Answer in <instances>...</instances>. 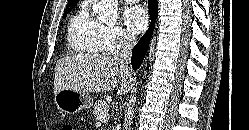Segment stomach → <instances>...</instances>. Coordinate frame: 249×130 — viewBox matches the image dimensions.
I'll return each instance as SVG.
<instances>
[{
	"label": "stomach",
	"instance_id": "1",
	"mask_svg": "<svg viewBox=\"0 0 249 130\" xmlns=\"http://www.w3.org/2000/svg\"><path fill=\"white\" fill-rule=\"evenodd\" d=\"M93 98L89 93L64 89L55 95L57 108L67 114H75L93 105Z\"/></svg>",
	"mask_w": 249,
	"mask_h": 130
}]
</instances>
